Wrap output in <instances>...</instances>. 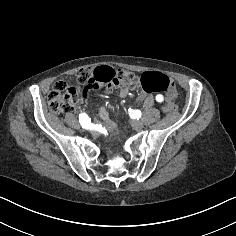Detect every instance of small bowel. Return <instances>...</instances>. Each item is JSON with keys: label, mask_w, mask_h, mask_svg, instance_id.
Returning <instances> with one entry per match:
<instances>
[{"label": "small bowel", "mask_w": 236, "mask_h": 236, "mask_svg": "<svg viewBox=\"0 0 236 236\" xmlns=\"http://www.w3.org/2000/svg\"><path fill=\"white\" fill-rule=\"evenodd\" d=\"M129 93V88L128 87H123L120 90V96L121 97H125L127 96ZM144 100V105L146 107H150L153 105L154 103V98L152 96H146V97H141ZM100 117L102 119L103 122V126L105 129L107 130H114L115 129V123L110 119L109 117V113L107 111V109L105 107H101L100 109Z\"/></svg>", "instance_id": "c3829d8e"}]
</instances>
